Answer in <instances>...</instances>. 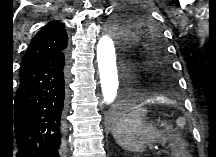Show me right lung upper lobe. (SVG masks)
I'll return each mask as SVG.
<instances>
[{
  "instance_id": "1",
  "label": "right lung upper lobe",
  "mask_w": 216,
  "mask_h": 157,
  "mask_svg": "<svg viewBox=\"0 0 216 157\" xmlns=\"http://www.w3.org/2000/svg\"><path fill=\"white\" fill-rule=\"evenodd\" d=\"M68 37L64 25L51 21L31 40L20 68V75L41 63L64 53Z\"/></svg>"
}]
</instances>
